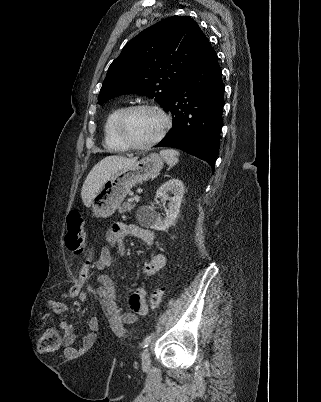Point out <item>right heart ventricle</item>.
I'll use <instances>...</instances> for the list:
<instances>
[{
	"mask_svg": "<svg viewBox=\"0 0 321 402\" xmlns=\"http://www.w3.org/2000/svg\"><path fill=\"white\" fill-rule=\"evenodd\" d=\"M123 110H124L123 106H118L113 110H111L110 113L107 115L103 126L104 146L109 151L115 153H122L128 149L120 141L116 132V122Z\"/></svg>",
	"mask_w": 321,
	"mask_h": 402,
	"instance_id": "obj_1",
	"label": "right heart ventricle"
}]
</instances>
